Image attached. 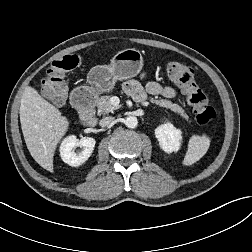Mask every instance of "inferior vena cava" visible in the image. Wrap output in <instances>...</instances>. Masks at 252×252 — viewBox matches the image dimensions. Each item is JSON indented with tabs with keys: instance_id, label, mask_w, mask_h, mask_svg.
I'll return each instance as SVG.
<instances>
[{
	"instance_id": "602c4592",
	"label": "inferior vena cava",
	"mask_w": 252,
	"mask_h": 252,
	"mask_svg": "<svg viewBox=\"0 0 252 252\" xmlns=\"http://www.w3.org/2000/svg\"><path fill=\"white\" fill-rule=\"evenodd\" d=\"M113 121H114V117L108 116V117L102 118L100 120L99 124L101 127H106V126L110 125Z\"/></svg>"
}]
</instances>
